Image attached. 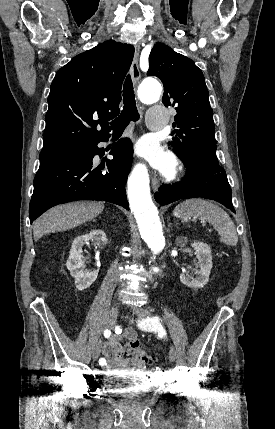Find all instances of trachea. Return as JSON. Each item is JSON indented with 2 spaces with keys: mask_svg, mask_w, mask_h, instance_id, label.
Masks as SVG:
<instances>
[{
  "mask_svg": "<svg viewBox=\"0 0 275 429\" xmlns=\"http://www.w3.org/2000/svg\"><path fill=\"white\" fill-rule=\"evenodd\" d=\"M123 110L121 114L111 122L113 133L124 131L131 121H138L140 115L138 113L133 90V83L130 75L125 79L123 86Z\"/></svg>",
  "mask_w": 275,
  "mask_h": 429,
  "instance_id": "3493384b",
  "label": "trachea"
}]
</instances>
